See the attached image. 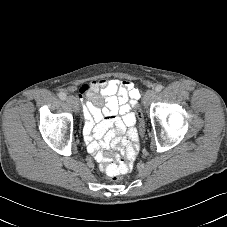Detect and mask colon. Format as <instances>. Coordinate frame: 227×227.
<instances>
[{
  "label": "colon",
  "mask_w": 227,
  "mask_h": 227,
  "mask_svg": "<svg viewBox=\"0 0 227 227\" xmlns=\"http://www.w3.org/2000/svg\"><path fill=\"white\" fill-rule=\"evenodd\" d=\"M139 109H140V106L137 104L135 106L134 111L136 112V115H137L136 118L140 121V129L138 131H139L140 137L143 139L145 137L144 132H143L144 131L143 128L145 127L144 126L145 125V122H144L145 119L142 117V114L140 113ZM132 133L137 134V132H132ZM115 160H116L115 155H113V154L105 155V160L102 164L104 166V169H105L107 176L112 181L119 180L121 178V175L127 173L130 169V164L125 163L123 165H119L118 163H115Z\"/></svg>",
  "instance_id": "obj_1"
}]
</instances>
